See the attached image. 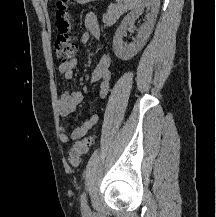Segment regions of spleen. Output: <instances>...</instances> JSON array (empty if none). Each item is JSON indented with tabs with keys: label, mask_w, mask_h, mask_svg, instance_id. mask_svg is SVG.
<instances>
[{
	"label": "spleen",
	"mask_w": 216,
	"mask_h": 217,
	"mask_svg": "<svg viewBox=\"0 0 216 217\" xmlns=\"http://www.w3.org/2000/svg\"><path fill=\"white\" fill-rule=\"evenodd\" d=\"M141 0H125V6L128 9H133L135 6H137L140 3Z\"/></svg>",
	"instance_id": "1"
}]
</instances>
